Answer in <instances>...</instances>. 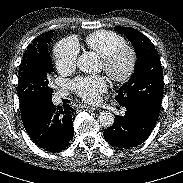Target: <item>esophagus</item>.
<instances>
[{
	"instance_id": "34e87169",
	"label": "esophagus",
	"mask_w": 183,
	"mask_h": 183,
	"mask_svg": "<svg viewBox=\"0 0 183 183\" xmlns=\"http://www.w3.org/2000/svg\"><path fill=\"white\" fill-rule=\"evenodd\" d=\"M82 108H84L86 110H90V111H96L97 110L96 108L90 107V106H87V105L82 106Z\"/></svg>"
}]
</instances>
